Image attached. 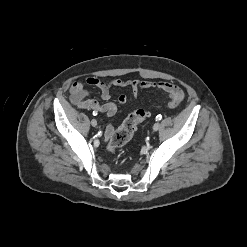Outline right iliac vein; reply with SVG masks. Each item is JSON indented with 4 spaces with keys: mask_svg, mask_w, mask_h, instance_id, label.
<instances>
[{
    "mask_svg": "<svg viewBox=\"0 0 247 247\" xmlns=\"http://www.w3.org/2000/svg\"><path fill=\"white\" fill-rule=\"evenodd\" d=\"M91 125H92L93 127H96V126H97V121H96L95 119H92V120H91Z\"/></svg>",
    "mask_w": 247,
    "mask_h": 247,
    "instance_id": "63e3f726",
    "label": "right iliac vein"
}]
</instances>
